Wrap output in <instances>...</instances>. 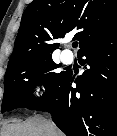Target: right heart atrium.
Listing matches in <instances>:
<instances>
[{
	"mask_svg": "<svg viewBox=\"0 0 117 136\" xmlns=\"http://www.w3.org/2000/svg\"><path fill=\"white\" fill-rule=\"evenodd\" d=\"M45 91V84L43 81H38L33 84L31 87L29 94H28V100L30 102H35L38 98H40Z\"/></svg>",
	"mask_w": 117,
	"mask_h": 136,
	"instance_id": "right-heart-atrium-1",
	"label": "right heart atrium"
}]
</instances>
